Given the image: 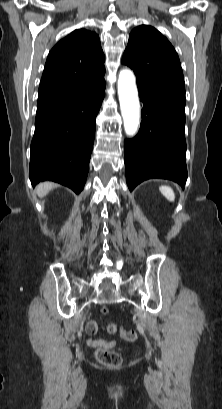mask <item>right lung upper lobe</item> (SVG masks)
<instances>
[{
    "label": "right lung upper lobe",
    "mask_w": 222,
    "mask_h": 409,
    "mask_svg": "<svg viewBox=\"0 0 222 409\" xmlns=\"http://www.w3.org/2000/svg\"><path fill=\"white\" fill-rule=\"evenodd\" d=\"M99 36L78 29L60 40L50 51L41 83L38 104L83 92L87 81L105 73Z\"/></svg>",
    "instance_id": "obj_1"
}]
</instances>
